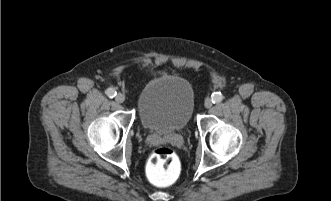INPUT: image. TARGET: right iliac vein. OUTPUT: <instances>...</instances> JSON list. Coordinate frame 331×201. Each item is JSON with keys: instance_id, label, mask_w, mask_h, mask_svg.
Returning a JSON list of instances; mask_svg holds the SVG:
<instances>
[{"instance_id": "1", "label": "right iliac vein", "mask_w": 331, "mask_h": 201, "mask_svg": "<svg viewBox=\"0 0 331 201\" xmlns=\"http://www.w3.org/2000/svg\"><path fill=\"white\" fill-rule=\"evenodd\" d=\"M115 100L117 103H123L125 100V97L122 93H118L115 97Z\"/></svg>"}]
</instances>
